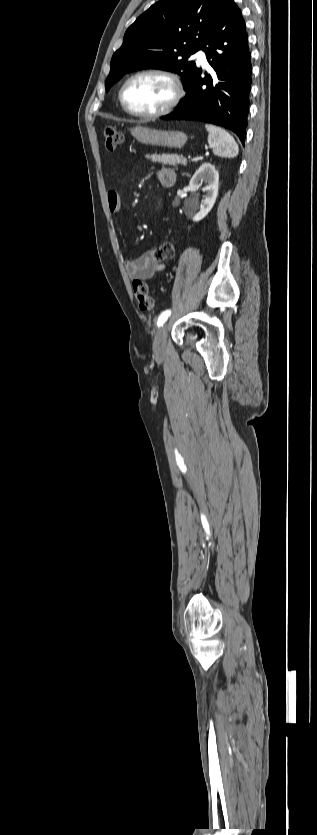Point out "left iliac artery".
Listing matches in <instances>:
<instances>
[{"mask_svg":"<svg viewBox=\"0 0 317 835\" xmlns=\"http://www.w3.org/2000/svg\"><path fill=\"white\" fill-rule=\"evenodd\" d=\"M170 314H171V311H170V310H165V311H163V312L160 314L159 318H158V321H157V326H158V327L162 326V325L165 323V321L168 319V317L170 316Z\"/></svg>","mask_w":317,"mask_h":835,"instance_id":"1","label":"left iliac artery"}]
</instances>
